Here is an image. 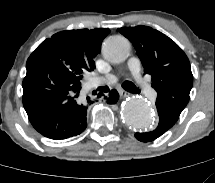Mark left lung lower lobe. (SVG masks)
<instances>
[{
    "instance_id": "obj_1",
    "label": "left lung lower lobe",
    "mask_w": 215,
    "mask_h": 183,
    "mask_svg": "<svg viewBox=\"0 0 215 183\" xmlns=\"http://www.w3.org/2000/svg\"><path fill=\"white\" fill-rule=\"evenodd\" d=\"M156 109L159 116L157 127L150 132L135 133V138L143 143L152 142L158 139L163 134H165L169 129H171L179 119L174 117L170 112H168L159 105H156Z\"/></svg>"
}]
</instances>
